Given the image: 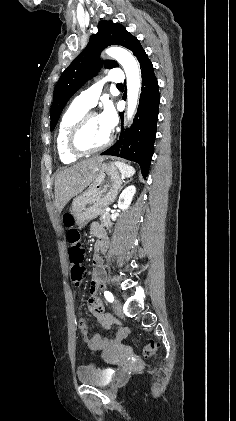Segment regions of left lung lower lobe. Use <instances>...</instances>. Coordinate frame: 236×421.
<instances>
[{
	"instance_id": "left-lung-lower-lobe-1",
	"label": "left lung lower lobe",
	"mask_w": 236,
	"mask_h": 421,
	"mask_svg": "<svg viewBox=\"0 0 236 421\" xmlns=\"http://www.w3.org/2000/svg\"><path fill=\"white\" fill-rule=\"evenodd\" d=\"M133 54L137 57L142 73V88L138 111L131 128L123 132L119 140L101 155H112L137 162L146 179L154 150L160 94L157 78L151 61L142 46H138ZM123 125V114L119 113Z\"/></svg>"
}]
</instances>
